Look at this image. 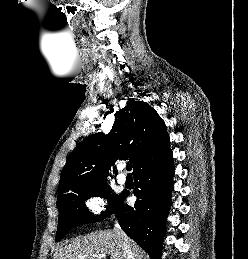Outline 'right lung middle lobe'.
Instances as JSON below:
<instances>
[{
	"instance_id": "dd1d6c3e",
	"label": "right lung middle lobe",
	"mask_w": 248,
	"mask_h": 259,
	"mask_svg": "<svg viewBox=\"0 0 248 259\" xmlns=\"http://www.w3.org/2000/svg\"><path fill=\"white\" fill-rule=\"evenodd\" d=\"M94 196L107 197L108 199V207L100 216H93L85 206V200ZM120 199V196L110 195V189L106 181L79 187L58 197L59 219L55 240H61L73 227L94 223L115 213ZM94 218L95 220H93Z\"/></svg>"
}]
</instances>
